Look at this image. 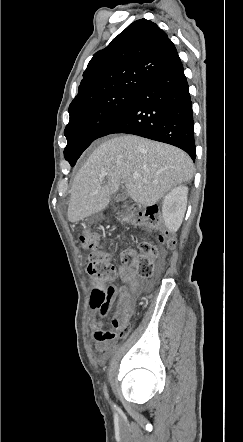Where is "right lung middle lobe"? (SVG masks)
Segmentation results:
<instances>
[{"label":"right lung middle lobe","instance_id":"obj_1","mask_svg":"<svg viewBox=\"0 0 243 442\" xmlns=\"http://www.w3.org/2000/svg\"><path fill=\"white\" fill-rule=\"evenodd\" d=\"M136 91L122 90L97 98L74 108L64 134L67 146L64 157L74 166L82 152L98 138L99 132L121 110Z\"/></svg>","mask_w":243,"mask_h":442}]
</instances>
